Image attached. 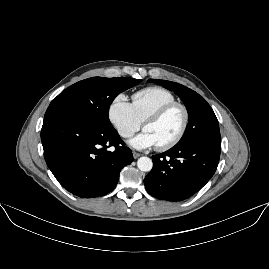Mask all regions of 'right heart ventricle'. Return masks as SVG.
Listing matches in <instances>:
<instances>
[{"label":"right heart ventricle","instance_id":"1","mask_svg":"<svg viewBox=\"0 0 269 269\" xmlns=\"http://www.w3.org/2000/svg\"><path fill=\"white\" fill-rule=\"evenodd\" d=\"M174 94L162 87H150L132 95V108L138 119L143 122L153 110L174 102Z\"/></svg>","mask_w":269,"mask_h":269}]
</instances>
